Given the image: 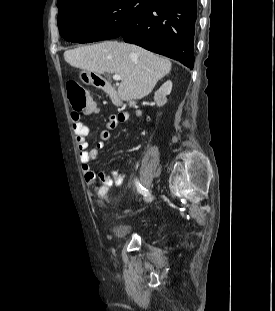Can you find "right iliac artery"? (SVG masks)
Returning a JSON list of instances; mask_svg holds the SVG:
<instances>
[{"label":"right iliac artery","instance_id":"obj_1","mask_svg":"<svg viewBox=\"0 0 275 311\" xmlns=\"http://www.w3.org/2000/svg\"><path fill=\"white\" fill-rule=\"evenodd\" d=\"M135 186L137 188V191L144 197H148L150 195L149 191L140 184L138 179H135Z\"/></svg>","mask_w":275,"mask_h":311}]
</instances>
